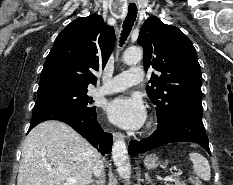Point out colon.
<instances>
[{
    "label": "colon",
    "instance_id": "5ec220e1",
    "mask_svg": "<svg viewBox=\"0 0 233 185\" xmlns=\"http://www.w3.org/2000/svg\"><path fill=\"white\" fill-rule=\"evenodd\" d=\"M190 185H203L198 178H193Z\"/></svg>",
    "mask_w": 233,
    "mask_h": 185
}]
</instances>
